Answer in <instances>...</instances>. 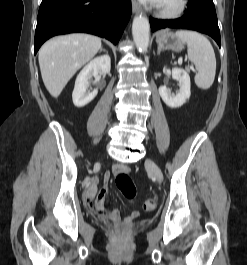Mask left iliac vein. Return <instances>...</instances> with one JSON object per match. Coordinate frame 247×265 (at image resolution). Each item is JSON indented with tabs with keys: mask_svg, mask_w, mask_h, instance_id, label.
Listing matches in <instances>:
<instances>
[{
	"mask_svg": "<svg viewBox=\"0 0 247 265\" xmlns=\"http://www.w3.org/2000/svg\"><path fill=\"white\" fill-rule=\"evenodd\" d=\"M145 165L147 170L154 176V178L161 183L163 181V174L159 166L151 159H147Z\"/></svg>",
	"mask_w": 247,
	"mask_h": 265,
	"instance_id": "1",
	"label": "left iliac vein"
}]
</instances>
